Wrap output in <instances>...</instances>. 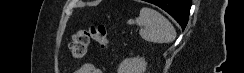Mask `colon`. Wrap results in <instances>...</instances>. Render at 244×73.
<instances>
[{"mask_svg":"<svg viewBox=\"0 0 244 73\" xmlns=\"http://www.w3.org/2000/svg\"><path fill=\"white\" fill-rule=\"evenodd\" d=\"M91 40L98 43L101 47H107L111 43V38L104 25L91 24L88 29H80L73 34L69 45L72 58L76 60L84 58Z\"/></svg>","mask_w":244,"mask_h":73,"instance_id":"obj_1","label":"colon"}]
</instances>
